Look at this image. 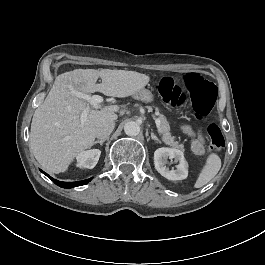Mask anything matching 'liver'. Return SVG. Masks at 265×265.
Masks as SVG:
<instances>
[{"mask_svg": "<svg viewBox=\"0 0 265 265\" xmlns=\"http://www.w3.org/2000/svg\"><path fill=\"white\" fill-rule=\"evenodd\" d=\"M99 77L103 83L96 85ZM150 80L147 74L111 69L76 68L57 75L31 122L30 147L36 160L50 173L66 172L80 153L92 148L96 126L104 120H118L121 106L93 109L86 99L72 94L69 84L86 95L99 91L109 97L127 98ZM84 112L86 124L81 129L80 116Z\"/></svg>", "mask_w": 265, "mask_h": 265, "instance_id": "obj_1", "label": "liver"}]
</instances>
